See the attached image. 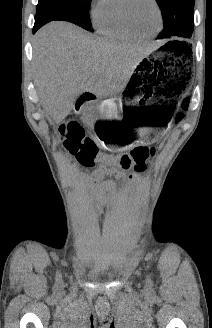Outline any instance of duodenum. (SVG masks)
<instances>
[{
    "label": "duodenum",
    "instance_id": "410a0bca",
    "mask_svg": "<svg viewBox=\"0 0 212 328\" xmlns=\"http://www.w3.org/2000/svg\"><path fill=\"white\" fill-rule=\"evenodd\" d=\"M93 101V97L89 95H82L79 97L76 101V107L78 110H82L84 107H86L88 104H90Z\"/></svg>",
    "mask_w": 212,
    "mask_h": 328
}]
</instances>
